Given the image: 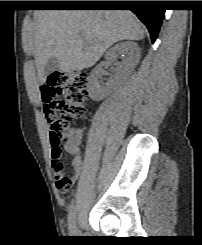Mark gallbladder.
Instances as JSON below:
<instances>
[{
    "label": "gallbladder",
    "instance_id": "bac80fb5",
    "mask_svg": "<svg viewBox=\"0 0 202 245\" xmlns=\"http://www.w3.org/2000/svg\"><path fill=\"white\" fill-rule=\"evenodd\" d=\"M58 66H59V60H58V58L51 57L47 61L46 65L44 67V70H43L44 75L47 76V75L51 74L52 72H54L58 68Z\"/></svg>",
    "mask_w": 202,
    "mask_h": 245
}]
</instances>
